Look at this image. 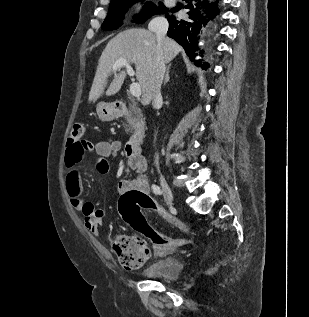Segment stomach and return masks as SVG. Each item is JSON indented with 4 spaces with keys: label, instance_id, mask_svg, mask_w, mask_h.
I'll return each mask as SVG.
<instances>
[{
    "label": "stomach",
    "instance_id": "stomach-1",
    "mask_svg": "<svg viewBox=\"0 0 309 317\" xmlns=\"http://www.w3.org/2000/svg\"><path fill=\"white\" fill-rule=\"evenodd\" d=\"M96 110L99 119L102 121H111L119 116L114 104L112 103L99 102Z\"/></svg>",
    "mask_w": 309,
    "mask_h": 317
}]
</instances>
